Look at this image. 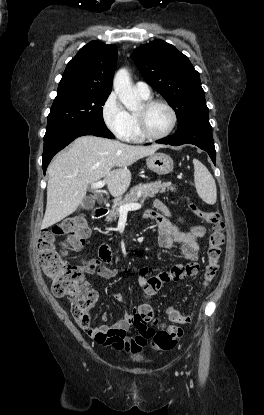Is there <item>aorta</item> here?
Listing matches in <instances>:
<instances>
[{"label":"aorta","mask_w":264,"mask_h":415,"mask_svg":"<svg viewBox=\"0 0 264 415\" xmlns=\"http://www.w3.org/2000/svg\"><path fill=\"white\" fill-rule=\"evenodd\" d=\"M113 87L119 100L128 110H136L141 100L132 88L130 75L127 69H120L114 76Z\"/></svg>","instance_id":"762f6f07"}]
</instances>
